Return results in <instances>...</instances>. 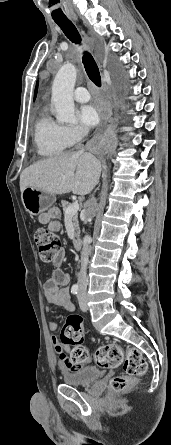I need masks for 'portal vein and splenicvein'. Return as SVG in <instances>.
Wrapping results in <instances>:
<instances>
[{
	"label": "portal vein and splenic vein",
	"mask_w": 171,
	"mask_h": 445,
	"mask_svg": "<svg viewBox=\"0 0 171 445\" xmlns=\"http://www.w3.org/2000/svg\"><path fill=\"white\" fill-rule=\"evenodd\" d=\"M79 210V204L78 202H74L71 204L66 210H65V217H71L77 213Z\"/></svg>",
	"instance_id": "1"
}]
</instances>
